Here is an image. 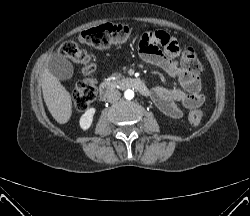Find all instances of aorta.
<instances>
[{
    "label": "aorta",
    "instance_id": "1",
    "mask_svg": "<svg viewBox=\"0 0 250 216\" xmlns=\"http://www.w3.org/2000/svg\"><path fill=\"white\" fill-rule=\"evenodd\" d=\"M126 99L131 100L134 97V92L130 89L126 90L124 93Z\"/></svg>",
    "mask_w": 250,
    "mask_h": 216
}]
</instances>
